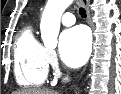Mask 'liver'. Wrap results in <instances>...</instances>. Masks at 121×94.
<instances>
[{"label":"liver","instance_id":"liver-1","mask_svg":"<svg viewBox=\"0 0 121 94\" xmlns=\"http://www.w3.org/2000/svg\"><path fill=\"white\" fill-rule=\"evenodd\" d=\"M15 94H58L54 90L49 89H25L22 91H18Z\"/></svg>","mask_w":121,"mask_h":94}]
</instances>
